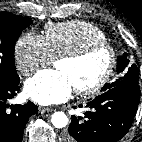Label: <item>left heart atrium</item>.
<instances>
[{
    "mask_svg": "<svg viewBox=\"0 0 142 142\" xmlns=\"http://www.w3.org/2000/svg\"><path fill=\"white\" fill-rule=\"evenodd\" d=\"M73 89L70 77L60 70H42L25 83L27 96L41 105L65 101Z\"/></svg>",
    "mask_w": 142,
    "mask_h": 142,
    "instance_id": "1",
    "label": "left heart atrium"
}]
</instances>
